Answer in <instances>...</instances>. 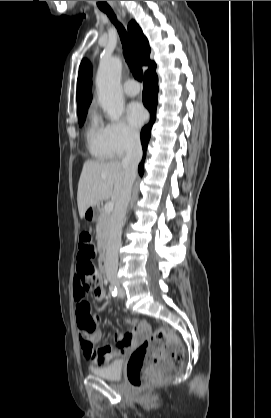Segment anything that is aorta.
I'll return each mask as SVG.
<instances>
[{
  "label": "aorta",
  "instance_id": "762f6f07",
  "mask_svg": "<svg viewBox=\"0 0 271 418\" xmlns=\"http://www.w3.org/2000/svg\"><path fill=\"white\" fill-rule=\"evenodd\" d=\"M121 69L122 63L118 57L102 59L96 76L99 103L112 121H118L124 110Z\"/></svg>",
  "mask_w": 271,
  "mask_h": 418
}]
</instances>
